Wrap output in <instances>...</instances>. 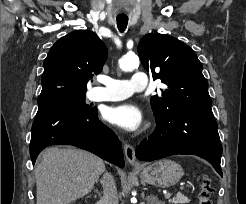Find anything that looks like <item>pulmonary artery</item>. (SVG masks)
Listing matches in <instances>:
<instances>
[{"instance_id":"pulmonary-artery-1","label":"pulmonary artery","mask_w":246,"mask_h":204,"mask_svg":"<svg viewBox=\"0 0 246 204\" xmlns=\"http://www.w3.org/2000/svg\"><path fill=\"white\" fill-rule=\"evenodd\" d=\"M103 85L90 91L92 101H118L130 97L134 92L143 91L148 85V78L144 72H135L129 80H117L110 77H101Z\"/></svg>"}]
</instances>
